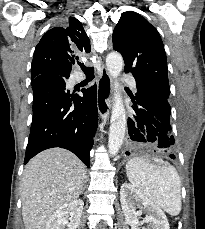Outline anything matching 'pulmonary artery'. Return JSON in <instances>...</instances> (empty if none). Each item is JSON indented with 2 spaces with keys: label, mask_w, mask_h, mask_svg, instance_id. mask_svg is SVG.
Masks as SVG:
<instances>
[{
  "label": "pulmonary artery",
  "mask_w": 205,
  "mask_h": 229,
  "mask_svg": "<svg viewBox=\"0 0 205 229\" xmlns=\"http://www.w3.org/2000/svg\"><path fill=\"white\" fill-rule=\"evenodd\" d=\"M122 81L130 85L134 90L137 89L135 79L131 75H123Z\"/></svg>",
  "instance_id": "obj_1"
}]
</instances>
